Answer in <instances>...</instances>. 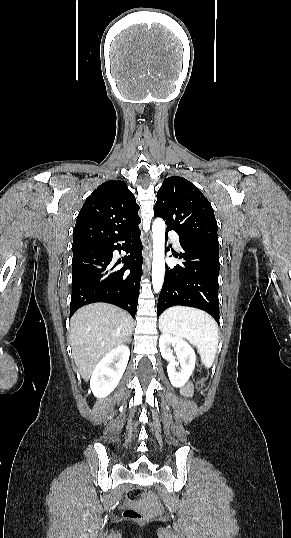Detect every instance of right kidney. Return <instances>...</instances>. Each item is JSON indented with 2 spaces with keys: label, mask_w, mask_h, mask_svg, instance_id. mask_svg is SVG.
Returning a JSON list of instances; mask_svg holds the SVG:
<instances>
[{
  "label": "right kidney",
  "mask_w": 291,
  "mask_h": 538,
  "mask_svg": "<svg viewBox=\"0 0 291 538\" xmlns=\"http://www.w3.org/2000/svg\"><path fill=\"white\" fill-rule=\"evenodd\" d=\"M129 355V347L120 345L99 361L90 379V388L95 397L104 398L116 388L126 369Z\"/></svg>",
  "instance_id": "1"
}]
</instances>
